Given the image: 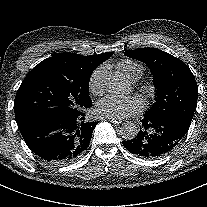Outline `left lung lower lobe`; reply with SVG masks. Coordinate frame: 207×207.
Listing matches in <instances>:
<instances>
[{"label":"left lung lower lobe","instance_id":"left-lung-lower-lobe-1","mask_svg":"<svg viewBox=\"0 0 207 207\" xmlns=\"http://www.w3.org/2000/svg\"><path fill=\"white\" fill-rule=\"evenodd\" d=\"M138 135L123 141L124 147L133 154L144 158H157L169 153L187 133L190 126L177 118L144 116Z\"/></svg>","mask_w":207,"mask_h":207}]
</instances>
